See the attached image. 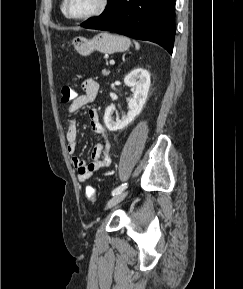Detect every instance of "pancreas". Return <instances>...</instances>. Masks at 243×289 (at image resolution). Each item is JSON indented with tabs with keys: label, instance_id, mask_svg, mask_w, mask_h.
<instances>
[{
	"label": "pancreas",
	"instance_id": "obj_1",
	"mask_svg": "<svg viewBox=\"0 0 243 289\" xmlns=\"http://www.w3.org/2000/svg\"><path fill=\"white\" fill-rule=\"evenodd\" d=\"M102 74H103V75H107V74H109V71L106 70V69H104V70L102 71Z\"/></svg>",
	"mask_w": 243,
	"mask_h": 289
}]
</instances>
